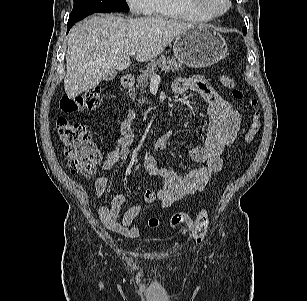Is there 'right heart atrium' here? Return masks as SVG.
I'll list each match as a JSON object with an SVG mask.
<instances>
[{"label":"right heart atrium","mask_w":307,"mask_h":301,"mask_svg":"<svg viewBox=\"0 0 307 301\" xmlns=\"http://www.w3.org/2000/svg\"><path fill=\"white\" fill-rule=\"evenodd\" d=\"M130 10L134 13L147 14L150 10L151 0H126Z\"/></svg>","instance_id":"obj_1"}]
</instances>
